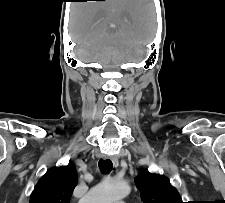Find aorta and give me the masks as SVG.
<instances>
[{"label":"aorta","mask_w":225,"mask_h":203,"mask_svg":"<svg viewBox=\"0 0 225 203\" xmlns=\"http://www.w3.org/2000/svg\"><path fill=\"white\" fill-rule=\"evenodd\" d=\"M130 188L127 183L106 179L90 189L79 203H113L128 195Z\"/></svg>","instance_id":"obj_1"}]
</instances>
